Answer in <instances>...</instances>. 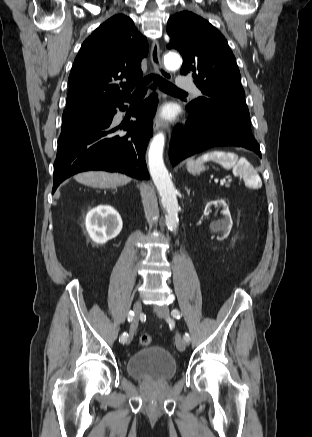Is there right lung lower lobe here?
Listing matches in <instances>:
<instances>
[{"label": "right lung lower lobe", "instance_id": "98d812e1", "mask_svg": "<svg viewBox=\"0 0 312 437\" xmlns=\"http://www.w3.org/2000/svg\"><path fill=\"white\" fill-rule=\"evenodd\" d=\"M131 98L110 107L103 119L60 135L52 193L66 178L88 170L122 172L137 179H149L145 150L153 132L151 119L157 98L152 95L143 101L133 114L138 121L114 126L116 108L125 110L123 102H130Z\"/></svg>", "mask_w": 312, "mask_h": 437}]
</instances>
